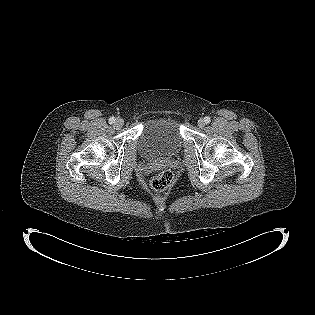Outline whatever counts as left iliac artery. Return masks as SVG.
<instances>
[{"instance_id": "left-iliac-artery-1", "label": "left iliac artery", "mask_w": 315, "mask_h": 315, "mask_svg": "<svg viewBox=\"0 0 315 315\" xmlns=\"http://www.w3.org/2000/svg\"><path fill=\"white\" fill-rule=\"evenodd\" d=\"M204 121H205L206 124H208V123H210L211 119H210L209 116H206V117L204 118Z\"/></svg>"}]
</instances>
